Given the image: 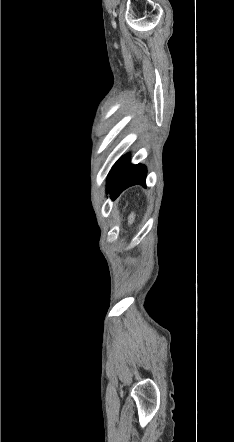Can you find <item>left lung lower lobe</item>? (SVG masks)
<instances>
[{
	"instance_id": "left-lung-lower-lobe-1",
	"label": "left lung lower lobe",
	"mask_w": 234,
	"mask_h": 442,
	"mask_svg": "<svg viewBox=\"0 0 234 442\" xmlns=\"http://www.w3.org/2000/svg\"><path fill=\"white\" fill-rule=\"evenodd\" d=\"M146 168L143 165H132L129 156L116 162L108 176L107 188L111 197L116 198L126 188L140 184L145 185Z\"/></svg>"
}]
</instances>
